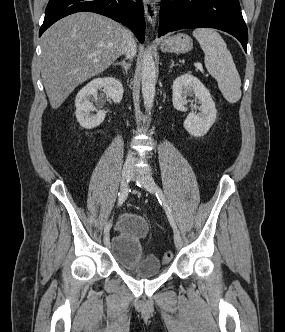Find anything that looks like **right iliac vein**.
I'll return each instance as SVG.
<instances>
[{
  "label": "right iliac vein",
  "mask_w": 285,
  "mask_h": 332,
  "mask_svg": "<svg viewBox=\"0 0 285 332\" xmlns=\"http://www.w3.org/2000/svg\"><path fill=\"white\" fill-rule=\"evenodd\" d=\"M132 172V167L129 165H126L123 167L122 169V174H121V187L124 188L128 185V179L130 177V174ZM104 244L108 245L109 241H110V236H109V232H106L104 235Z\"/></svg>",
  "instance_id": "obj_1"
}]
</instances>
